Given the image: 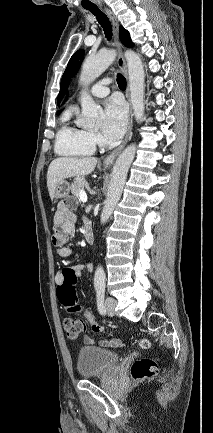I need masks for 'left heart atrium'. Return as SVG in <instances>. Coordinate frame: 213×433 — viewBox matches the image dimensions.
<instances>
[{"label": "left heart atrium", "instance_id": "39dd6f15", "mask_svg": "<svg viewBox=\"0 0 213 433\" xmlns=\"http://www.w3.org/2000/svg\"><path fill=\"white\" fill-rule=\"evenodd\" d=\"M127 126V110L119 98H110L104 106L102 131L109 140L119 139Z\"/></svg>", "mask_w": 213, "mask_h": 433}]
</instances>
